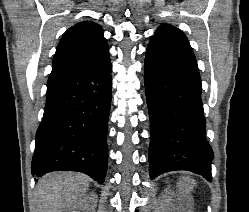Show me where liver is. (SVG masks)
I'll return each mask as SVG.
<instances>
[{
  "label": "liver",
  "instance_id": "liver-1",
  "mask_svg": "<svg viewBox=\"0 0 249 212\" xmlns=\"http://www.w3.org/2000/svg\"><path fill=\"white\" fill-rule=\"evenodd\" d=\"M88 176L80 172H51L40 178L36 190L37 212H76L82 196L89 188ZM188 178H182L179 188L191 192L192 186Z\"/></svg>",
  "mask_w": 249,
  "mask_h": 212
}]
</instances>
